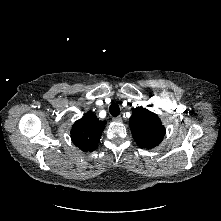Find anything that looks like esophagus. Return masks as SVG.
<instances>
[{
  "instance_id": "1",
  "label": "esophagus",
  "mask_w": 221,
  "mask_h": 221,
  "mask_svg": "<svg viewBox=\"0 0 221 221\" xmlns=\"http://www.w3.org/2000/svg\"><path fill=\"white\" fill-rule=\"evenodd\" d=\"M114 122H122V117L121 116H117L113 118Z\"/></svg>"
}]
</instances>
